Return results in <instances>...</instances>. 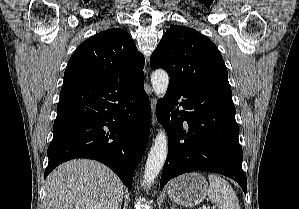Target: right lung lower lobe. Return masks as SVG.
Segmentation results:
<instances>
[{
  "label": "right lung lower lobe",
  "instance_id": "obj_1",
  "mask_svg": "<svg viewBox=\"0 0 299 209\" xmlns=\"http://www.w3.org/2000/svg\"><path fill=\"white\" fill-rule=\"evenodd\" d=\"M151 111L144 80L62 87L44 178L59 164L90 158L111 168L131 190L148 141Z\"/></svg>",
  "mask_w": 299,
  "mask_h": 209
}]
</instances>
